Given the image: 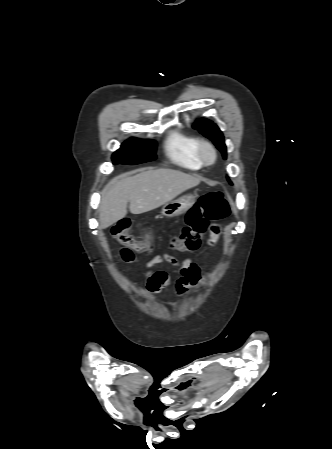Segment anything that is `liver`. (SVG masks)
<instances>
[{
	"mask_svg": "<svg viewBox=\"0 0 332 449\" xmlns=\"http://www.w3.org/2000/svg\"><path fill=\"white\" fill-rule=\"evenodd\" d=\"M199 183V177L173 169L148 170L131 177H115L101 193L100 227L108 228L122 219L127 214L128 202L132 214H142L170 202Z\"/></svg>",
	"mask_w": 332,
	"mask_h": 449,
	"instance_id": "6515ba94",
	"label": "liver"
}]
</instances>
